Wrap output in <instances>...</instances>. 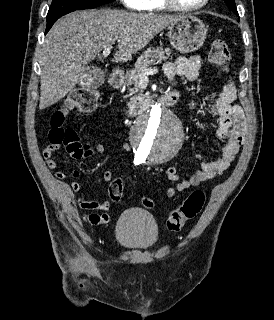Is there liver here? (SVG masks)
<instances>
[{"label":"liver","mask_w":274,"mask_h":320,"mask_svg":"<svg viewBox=\"0 0 274 320\" xmlns=\"http://www.w3.org/2000/svg\"><path fill=\"white\" fill-rule=\"evenodd\" d=\"M181 16L125 10H82L60 18L48 32L40 56V110L65 98L81 82L97 54L117 42L116 62H128Z\"/></svg>","instance_id":"liver-1"}]
</instances>
